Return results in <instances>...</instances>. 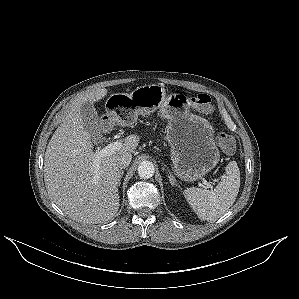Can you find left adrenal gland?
<instances>
[{"label": "left adrenal gland", "instance_id": "left-adrenal-gland-1", "mask_svg": "<svg viewBox=\"0 0 299 299\" xmlns=\"http://www.w3.org/2000/svg\"><path fill=\"white\" fill-rule=\"evenodd\" d=\"M165 167H166V165H165ZM163 169H164V168H163ZM167 170H168V172H169L168 177H169L170 184H171L172 186H174V185L178 186V184H176V179L174 178V176L171 174V172L169 171V169H167ZM178 187H179V186H178Z\"/></svg>", "mask_w": 299, "mask_h": 299}]
</instances>
